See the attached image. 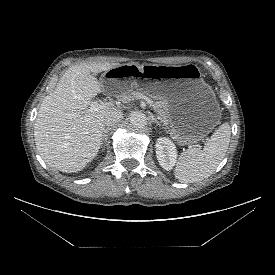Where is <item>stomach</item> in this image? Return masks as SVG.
I'll return each instance as SVG.
<instances>
[{"label": "stomach", "instance_id": "1", "mask_svg": "<svg viewBox=\"0 0 275 275\" xmlns=\"http://www.w3.org/2000/svg\"><path fill=\"white\" fill-rule=\"evenodd\" d=\"M100 82L105 91L117 95L138 89L164 99L168 103L170 133L181 145L202 140L221 118L211 86L193 63L122 64L105 71Z\"/></svg>", "mask_w": 275, "mask_h": 275}]
</instances>
